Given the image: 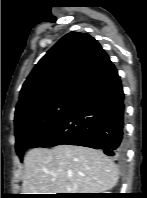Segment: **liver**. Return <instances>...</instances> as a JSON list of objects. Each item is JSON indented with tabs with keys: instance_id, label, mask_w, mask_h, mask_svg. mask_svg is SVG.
<instances>
[{
	"instance_id": "liver-1",
	"label": "liver",
	"mask_w": 147,
	"mask_h": 198,
	"mask_svg": "<svg viewBox=\"0 0 147 198\" xmlns=\"http://www.w3.org/2000/svg\"><path fill=\"white\" fill-rule=\"evenodd\" d=\"M24 164L23 194L101 193L112 189L119 177L109 157L83 146L34 148Z\"/></svg>"
}]
</instances>
